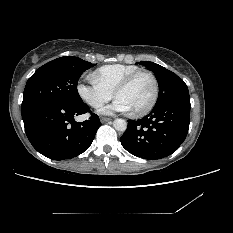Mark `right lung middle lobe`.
Segmentation results:
<instances>
[{
  "mask_svg": "<svg viewBox=\"0 0 233 233\" xmlns=\"http://www.w3.org/2000/svg\"><path fill=\"white\" fill-rule=\"evenodd\" d=\"M94 65L78 57L64 56L41 66L26 83L22 108L47 100L80 104L83 101L77 91L78 80Z\"/></svg>",
  "mask_w": 233,
  "mask_h": 233,
  "instance_id": "1",
  "label": "right lung middle lobe"
}]
</instances>
